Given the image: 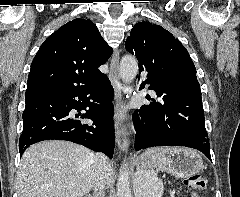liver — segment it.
Wrapping results in <instances>:
<instances>
[{"mask_svg": "<svg viewBox=\"0 0 240 197\" xmlns=\"http://www.w3.org/2000/svg\"><path fill=\"white\" fill-rule=\"evenodd\" d=\"M94 153L69 141L49 140L30 146L17 175L18 197H83L92 189ZM111 182L114 169L108 164ZM72 186V187H71Z\"/></svg>", "mask_w": 240, "mask_h": 197, "instance_id": "obj_1", "label": "liver"}]
</instances>
